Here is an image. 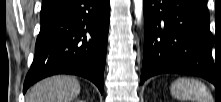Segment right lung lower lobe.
I'll return each mask as SVG.
<instances>
[{
  "label": "right lung lower lobe",
  "mask_w": 221,
  "mask_h": 102,
  "mask_svg": "<svg viewBox=\"0 0 221 102\" xmlns=\"http://www.w3.org/2000/svg\"><path fill=\"white\" fill-rule=\"evenodd\" d=\"M109 19V0H63L41 13L35 56L23 93L55 74L82 76L103 93Z\"/></svg>",
  "instance_id": "98d812e1"
}]
</instances>
